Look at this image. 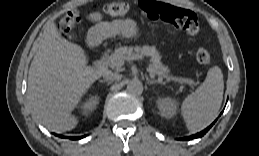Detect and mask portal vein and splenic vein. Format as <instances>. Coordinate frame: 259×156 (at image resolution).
Here are the masks:
<instances>
[{
  "instance_id": "portal-vein-and-splenic-vein-1",
  "label": "portal vein and splenic vein",
  "mask_w": 259,
  "mask_h": 156,
  "mask_svg": "<svg viewBox=\"0 0 259 156\" xmlns=\"http://www.w3.org/2000/svg\"><path fill=\"white\" fill-rule=\"evenodd\" d=\"M147 71L150 72V75L153 77L155 75L154 73V69L149 66L147 68ZM171 80H174V81H177L179 83H187V84H193L194 82L192 80H189V79H185V78H176V77H173Z\"/></svg>"
}]
</instances>
